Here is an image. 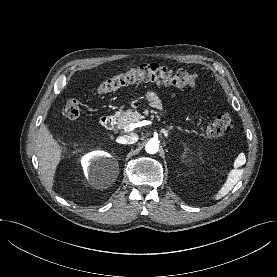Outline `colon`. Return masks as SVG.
<instances>
[{
    "label": "colon",
    "instance_id": "5ec220e1",
    "mask_svg": "<svg viewBox=\"0 0 277 277\" xmlns=\"http://www.w3.org/2000/svg\"><path fill=\"white\" fill-rule=\"evenodd\" d=\"M196 80V75L188 71L172 70L162 65L150 64L113 76L101 83L96 91L97 93H107L141 82H154L176 87H193ZM80 110V103L76 99H70L64 105L62 112L66 118L76 120L80 116ZM232 124L231 114L223 110L202 129V133L207 137H219L228 133L232 128Z\"/></svg>",
    "mask_w": 277,
    "mask_h": 277
}]
</instances>
